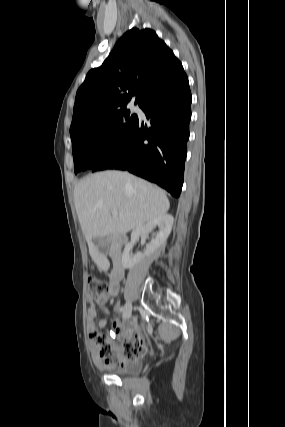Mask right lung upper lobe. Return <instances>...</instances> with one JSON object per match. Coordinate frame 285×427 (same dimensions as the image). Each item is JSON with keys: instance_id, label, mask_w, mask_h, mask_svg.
<instances>
[{"instance_id": "cb5924a9", "label": "right lung upper lobe", "mask_w": 285, "mask_h": 427, "mask_svg": "<svg viewBox=\"0 0 285 427\" xmlns=\"http://www.w3.org/2000/svg\"><path fill=\"white\" fill-rule=\"evenodd\" d=\"M182 68L151 29L132 28L116 43L103 64L90 70L77 91L70 133L110 115Z\"/></svg>"}]
</instances>
